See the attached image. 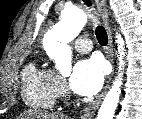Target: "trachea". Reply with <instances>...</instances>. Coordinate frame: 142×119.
Listing matches in <instances>:
<instances>
[{
	"label": "trachea",
	"instance_id": "1",
	"mask_svg": "<svg viewBox=\"0 0 142 119\" xmlns=\"http://www.w3.org/2000/svg\"><path fill=\"white\" fill-rule=\"evenodd\" d=\"M84 3L87 6H91V2L88 0H84ZM95 33L99 44L102 46L107 45L108 36L106 30L102 26H98L95 30Z\"/></svg>",
	"mask_w": 142,
	"mask_h": 119
}]
</instances>
